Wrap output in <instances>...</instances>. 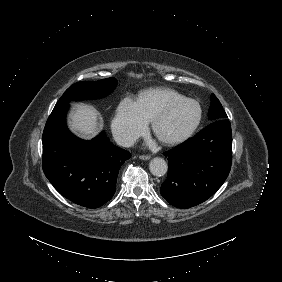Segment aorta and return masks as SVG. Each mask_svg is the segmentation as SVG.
<instances>
[{
  "instance_id": "1",
  "label": "aorta",
  "mask_w": 282,
  "mask_h": 282,
  "mask_svg": "<svg viewBox=\"0 0 282 282\" xmlns=\"http://www.w3.org/2000/svg\"><path fill=\"white\" fill-rule=\"evenodd\" d=\"M149 170L153 175L162 176L167 171V163L161 157H154L149 162Z\"/></svg>"
}]
</instances>
